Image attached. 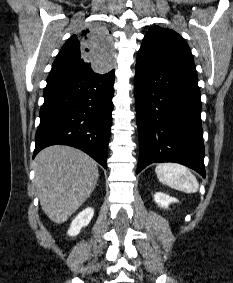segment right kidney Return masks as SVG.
I'll return each mask as SVG.
<instances>
[{"mask_svg":"<svg viewBox=\"0 0 233 283\" xmlns=\"http://www.w3.org/2000/svg\"><path fill=\"white\" fill-rule=\"evenodd\" d=\"M94 215V210L92 208H86L80 212L72 221L71 226L68 230L69 236H76L79 234L80 230L87 226Z\"/></svg>","mask_w":233,"mask_h":283,"instance_id":"right-kidney-1","label":"right kidney"}]
</instances>
